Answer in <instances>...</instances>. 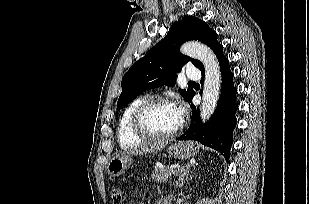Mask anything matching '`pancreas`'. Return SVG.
Returning <instances> with one entry per match:
<instances>
[{"label":"pancreas","instance_id":"cf45deb5","mask_svg":"<svg viewBox=\"0 0 309 204\" xmlns=\"http://www.w3.org/2000/svg\"><path fill=\"white\" fill-rule=\"evenodd\" d=\"M176 169H167L155 167V171L152 173V179L156 182L164 183L174 174Z\"/></svg>","mask_w":309,"mask_h":204}]
</instances>
